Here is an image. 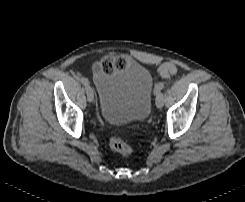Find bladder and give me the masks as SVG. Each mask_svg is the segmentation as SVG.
Masks as SVG:
<instances>
[{
  "label": "bladder",
  "instance_id": "obj_1",
  "mask_svg": "<svg viewBox=\"0 0 245 202\" xmlns=\"http://www.w3.org/2000/svg\"><path fill=\"white\" fill-rule=\"evenodd\" d=\"M98 95V111L114 126L144 122L151 111L154 81L149 70L132 62L111 72L93 75Z\"/></svg>",
  "mask_w": 245,
  "mask_h": 202
}]
</instances>
